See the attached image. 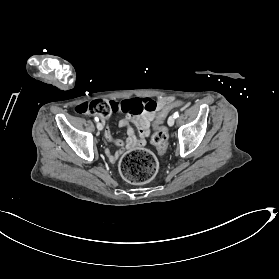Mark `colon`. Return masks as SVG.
I'll return each mask as SVG.
<instances>
[{"label":"colon","mask_w":279,"mask_h":279,"mask_svg":"<svg viewBox=\"0 0 279 279\" xmlns=\"http://www.w3.org/2000/svg\"><path fill=\"white\" fill-rule=\"evenodd\" d=\"M181 103L166 100L162 110L158 113L154 122L152 144L159 154L165 153L168 146V131L163 125L168 114ZM158 102L152 98H136L121 102L96 99L90 103H83L75 108L77 113H91L100 117H107L112 112H124L133 116L145 112H155ZM158 170L156 157L147 150H131L124 154L120 161V172L125 180L133 184H143L154 178Z\"/></svg>","instance_id":"1"}]
</instances>
